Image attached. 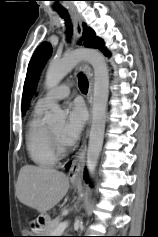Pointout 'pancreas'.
Instances as JSON below:
<instances>
[{
	"instance_id": "obj_1",
	"label": "pancreas",
	"mask_w": 158,
	"mask_h": 237,
	"mask_svg": "<svg viewBox=\"0 0 158 237\" xmlns=\"http://www.w3.org/2000/svg\"><path fill=\"white\" fill-rule=\"evenodd\" d=\"M60 224V221L58 219H55V220H48L46 222V225L44 227V233L45 235L47 236H57L59 234L57 229H58V226Z\"/></svg>"
}]
</instances>
